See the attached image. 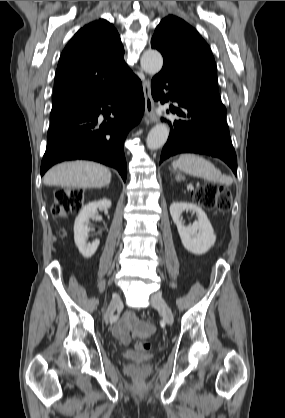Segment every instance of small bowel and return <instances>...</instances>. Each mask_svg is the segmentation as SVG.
I'll list each match as a JSON object with an SVG mask.
<instances>
[{
  "label": "small bowel",
  "instance_id": "obj_1",
  "mask_svg": "<svg viewBox=\"0 0 285 418\" xmlns=\"http://www.w3.org/2000/svg\"><path fill=\"white\" fill-rule=\"evenodd\" d=\"M155 331L154 325L149 321H141L133 312H126L113 326L112 333L124 345L131 341V336L148 338Z\"/></svg>",
  "mask_w": 285,
  "mask_h": 418
}]
</instances>
